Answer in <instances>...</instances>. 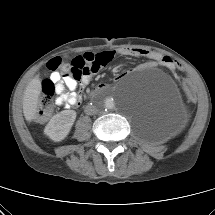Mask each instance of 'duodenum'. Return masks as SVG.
<instances>
[{
	"label": "duodenum",
	"mask_w": 215,
	"mask_h": 215,
	"mask_svg": "<svg viewBox=\"0 0 215 215\" xmlns=\"http://www.w3.org/2000/svg\"><path fill=\"white\" fill-rule=\"evenodd\" d=\"M107 88L106 84H99L92 92V95L97 94Z\"/></svg>",
	"instance_id": "duodenum-1"
}]
</instances>
